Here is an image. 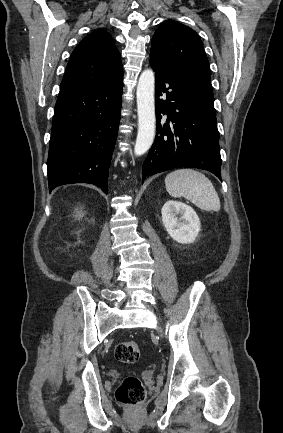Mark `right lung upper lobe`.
Wrapping results in <instances>:
<instances>
[{
    "label": "right lung upper lobe",
    "instance_id": "1",
    "mask_svg": "<svg viewBox=\"0 0 283 433\" xmlns=\"http://www.w3.org/2000/svg\"><path fill=\"white\" fill-rule=\"evenodd\" d=\"M104 30L86 36L74 49L59 95L96 88L123 76L121 55Z\"/></svg>",
    "mask_w": 283,
    "mask_h": 433
}]
</instances>
